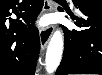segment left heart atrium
I'll return each instance as SVG.
<instances>
[{"label":"left heart atrium","mask_w":102,"mask_h":75,"mask_svg":"<svg viewBox=\"0 0 102 75\" xmlns=\"http://www.w3.org/2000/svg\"><path fill=\"white\" fill-rule=\"evenodd\" d=\"M45 23H46V20L42 19V20H41V24L44 25Z\"/></svg>","instance_id":"obj_1"}]
</instances>
